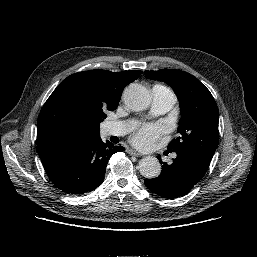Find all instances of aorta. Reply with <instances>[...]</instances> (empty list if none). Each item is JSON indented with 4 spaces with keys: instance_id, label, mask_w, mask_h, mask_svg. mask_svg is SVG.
<instances>
[{
    "instance_id": "obj_1",
    "label": "aorta",
    "mask_w": 257,
    "mask_h": 257,
    "mask_svg": "<svg viewBox=\"0 0 257 257\" xmlns=\"http://www.w3.org/2000/svg\"><path fill=\"white\" fill-rule=\"evenodd\" d=\"M125 105L133 111L146 109L151 102L149 90L140 84H131L123 92ZM139 171L145 178H155L161 172V165L156 157L147 156L140 160Z\"/></svg>"
}]
</instances>
